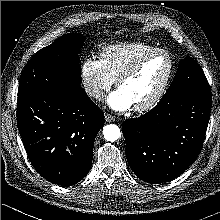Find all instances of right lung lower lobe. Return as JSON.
Here are the masks:
<instances>
[{
    "instance_id": "1",
    "label": "right lung lower lobe",
    "mask_w": 220,
    "mask_h": 220,
    "mask_svg": "<svg viewBox=\"0 0 220 220\" xmlns=\"http://www.w3.org/2000/svg\"><path fill=\"white\" fill-rule=\"evenodd\" d=\"M17 124L35 170L48 181L71 186L90 169L104 114L84 89L18 97Z\"/></svg>"
}]
</instances>
